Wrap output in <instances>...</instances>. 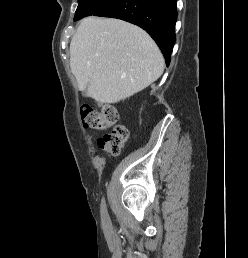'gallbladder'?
<instances>
[{
    "label": "gallbladder",
    "instance_id": "1",
    "mask_svg": "<svg viewBox=\"0 0 248 258\" xmlns=\"http://www.w3.org/2000/svg\"><path fill=\"white\" fill-rule=\"evenodd\" d=\"M83 92H84V95H87V94H86V90H84Z\"/></svg>",
    "mask_w": 248,
    "mask_h": 258
}]
</instances>
